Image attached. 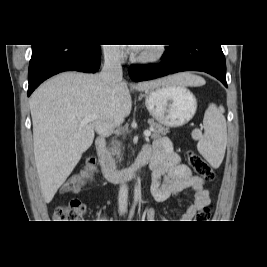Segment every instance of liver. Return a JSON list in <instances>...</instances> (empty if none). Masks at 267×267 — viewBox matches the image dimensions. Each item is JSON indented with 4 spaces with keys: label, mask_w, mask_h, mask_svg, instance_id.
Wrapping results in <instances>:
<instances>
[{
    "label": "liver",
    "mask_w": 267,
    "mask_h": 267,
    "mask_svg": "<svg viewBox=\"0 0 267 267\" xmlns=\"http://www.w3.org/2000/svg\"><path fill=\"white\" fill-rule=\"evenodd\" d=\"M202 77L179 73L165 79L141 82L134 86L147 91L164 84L202 86ZM132 108L127 84L105 82L100 75L76 72L59 74L38 87L30 98L33 122L34 157L41 193L50 203L57 190L92 145L95 132L111 133L124 122ZM98 118L83 126L87 115Z\"/></svg>",
    "instance_id": "1"
}]
</instances>
